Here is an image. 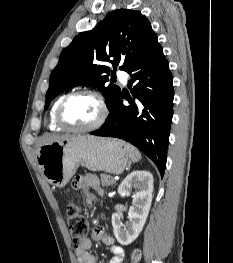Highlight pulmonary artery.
Listing matches in <instances>:
<instances>
[{
  "instance_id": "1",
  "label": "pulmonary artery",
  "mask_w": 233,
  "mask_h": 263,
  "mask_svg": "<svg viewBox=\"0 0 233 263\" xmlns=\"http://www.w3.org/2000/svg\"><path fill=\"white\" fill-rule=\"evenodd\" d=\"M117 77L119 78V80L121 81V83H123L124 85L127 83V78L128 75L125 71L123 70H118L117 71Z\"/></svg>"
}]
</instances>
